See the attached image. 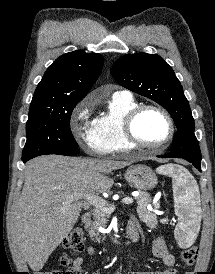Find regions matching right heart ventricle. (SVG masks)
<instances>
[{"instance_id": "obj_1", "label": "right heart ventricle", "mask_w": 215, "mask_h": 274, "mask_svg": "<svg viewBox=\"0 0 215 274\" xmlns=\"http://www.w3.org/2000/svg\"><path fill=\"white\" fill-rule=\"evenodd\" d=\"M137 105L132 96L113 95L108 102L107 112L95 119V128L107 153H121L134 148L125 139L122 123L127 112Z\"/></svg>"}]
</instances>
